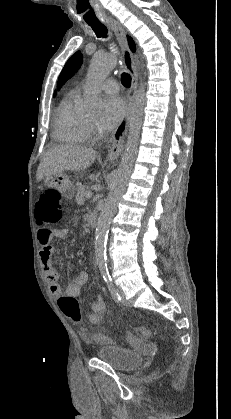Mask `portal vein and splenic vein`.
<instances>
[{
  "mask_svg": "<svg viewBox=\"0 0 231 419\" xmlns=\"http://www.w3.org/2000/svg\"><path fill=\"white\" fill-rule=\"evenodd\" d=\"M85 197L86 198H91L92 197V192L91 191H86Z\"/></svg>",
  "mask_w": 231,
  "mask_h": 419,
  "instance_id": "obj_1",
  "label": "portal vein and splenic vein"
}]
</instances>
